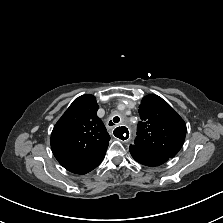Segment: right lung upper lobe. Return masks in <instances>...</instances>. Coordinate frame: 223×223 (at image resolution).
Masks as SVG:
<instances>
[{"label": "right lung upper lobe", "mask_w": 223, "mask_h": 223, "mask_svg": "<svg viewBox=\"0 0 223 223\" xmlns=\"http://www.w3.org/2000/svg\"><path fill=\"white\" fill-rule=\"evenodd\" d=\"M93 95L75 99L53 128L51 148L58 162L75 174H86L103 160L110 136L96 115Z\"/></svg>", "instance_id": "right-lung-upper-lobe-1"}]
</instances>
